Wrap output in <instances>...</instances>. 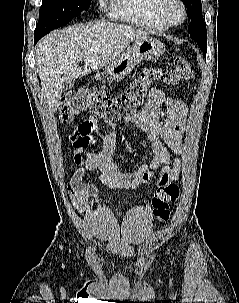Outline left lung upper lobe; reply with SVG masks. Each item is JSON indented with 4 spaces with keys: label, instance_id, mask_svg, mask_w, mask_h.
<instances>
[{
    "label": "left lung upper lobe",
    "instance_id": "left-lung-upper-lobe-1",
    "mask_svg": "<svg viewBox=\"0 0 239 303\" xmlns=\"http://www.w3.org/2000/svg\"><path fill=\"white\" fill-rule=\"evenodd\" d=\"M187 8V16L191 19L188 33L206 56L207 35L206 25L202 17V5L200 0H182Z\"/></svg>",
    "mask_w": 239,
    "mask_h": 303
}]
</instances>
